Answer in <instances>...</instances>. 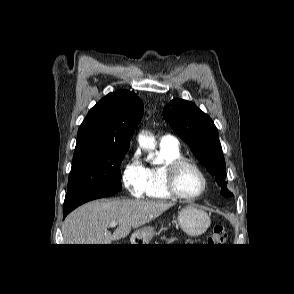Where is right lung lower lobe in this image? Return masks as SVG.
<instances>
[{
	"label": "right lung lower lobe",
	"mask_w": 294,
	"mask_h": 294,
	"mask_svg": "<svg viewBox=\"0 0 294 294\" xmlns=\"http://www.w3.org/2000/svg\"><path fill=\"white\" fill-rule=\"evenodd\" d=\"M118 191L115 192H106V193H102V194H93V195H88L85 196L84 198L80 199V200H76L74 202H71L67 205H64V218L67 216L68 213H70L72 210H74L76 207L80 206L81 204L94 200V199H98V198H102V197H107V196H111L115 193H117Z\"/></svg>",
	"instance_id": "obj_1"
}]
</instances>
